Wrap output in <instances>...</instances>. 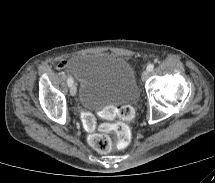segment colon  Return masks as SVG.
Wrapping results in <instances>:
<instances>
[{
    "label": "colon",
    "instance_id": "colon-1",
    "mask_svg": "<svg viewBox=\"0 0 215 183\" xmlns=\"http://www.w3.org/2000/svg\"><path fill=\"white\" fill-rule=\"evenodd\" d=\"M101 116L110 121L102 122L99 125V133H91L88 136L89 145L99 152H108L112 148L109 133H115L118 137L117 147L124 149L131 141L130 123L134 117V110L130 105L124 104L117 107H107L101 112ZM117 120H113L114 117ZM84 126L93 128V118L90 115L83 117Z\"/></svg>",
    "mask_w": 215,
    "mask_h": 183
}]
</instances>
